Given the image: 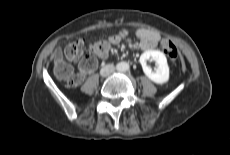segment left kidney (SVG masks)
Wrapping results in <instances>:
<instances>
[{"label": "left kidney", "mask_w": 230, "mask_h": 155, "mask_svg": "<svg viewBox=\"0 0 230 155\" xmlns=\"http://www.w3.org/2000/svg\"><path fill=\"white\" fill-rule=\"evenodd\" d=\"M152 59L156 62L157 68L152 71L147 66V61ZM140 64L142 65L145 75L156 84H164L169 80V66L164 53L158 50H147L140 56Z\"/></svg>", "instance_id": "5707ae66"}]
</instances>
